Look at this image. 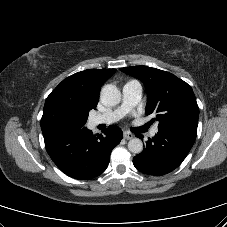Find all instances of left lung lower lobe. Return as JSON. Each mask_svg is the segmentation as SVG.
I'll return each mask as SVG.
<instances>
[{"label": "left lung lower lobe", "mask_w": 227, "mask_h": 227, "mask_svg": "<svg viewBox=\"0 0 227 227\" xmlns=\"http://www.w3.org/2000/svg\"><path fill=\"white\" fill-rule=\"evenodd\" d=\"M142 139L141 135H138ZM196 135L184 130L159 129L149 138L144 150L133 158L142 173L161 176L176 169L188 155Z\"/></svg>", "instance_id": "obj_1"}]
</instances>
